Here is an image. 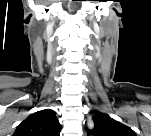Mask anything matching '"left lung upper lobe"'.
<instances>
[{"label": "left lung upper lobe", "instance_id": "left-lung-upper-lobe-1", "mask_svg": "<svg viewBox=\"0 0 151 136\" xmlns=\"http://www.w3.org/2000/svg\"><path fill=\"white\" fill-rule=\"evenodd\" d=\"M93 130H88L94 136H135L134 131L128 126L114 120L107 114L98 113L92 117Z\"/></svg>", "mask_w": 151, "mask_h": 136}]
</instances>
